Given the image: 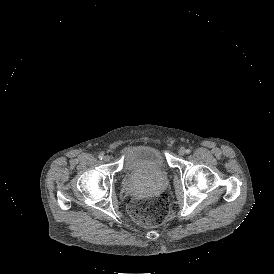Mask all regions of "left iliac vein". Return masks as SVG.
I'll return each mask as SVG.
<instances>
[{
	"instance_id": "4c4485c4",
	"label": "left iliac vein",
	"mask_w": 274,
	"mask_h": 274,
	"mask_svg": "<svg viewBox=\"0 0 274 274\" xmlns=\"http://www.w3.org/2000/svg\"><path fill=\"white\" fill-rule=\"evenodd\" d=\"M185 153H186V151H185V149H184L183 147H181V148L178 149V154H179L180 156L185 155Z\"/></svg>"
}]
</instances>
